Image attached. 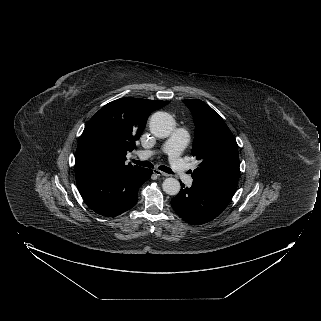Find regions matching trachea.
Wrapping results in <instances>:
<instances>
[{
    "instance_id": "3493384b",
    "label": "trachea",
    "mask_w": 321,
    "mask_h": 321,
    "mask_svg": "<svg viewBox=\"0 0 321 321\" xmlns=\"http://www.w3.org/2000/svg\"><path fill=\"white\" fill-rule=\"evenodd\" d=\"M133 163L139 165V166H143V167H149L152 168L153 164L149 161H138V160H133ZM159 170L166 172L168 174H174V172L167 166H159L158 167Z\"/></svg>"
}]
</instances>
